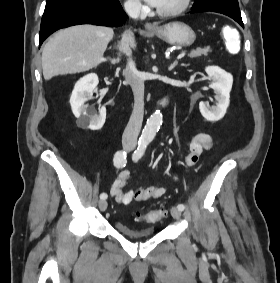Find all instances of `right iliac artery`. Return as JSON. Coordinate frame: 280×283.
<instances>
[{
    "mask_svg": "<svg viewBox=\"0 0 280 283\" xmlns=\"http://www.w3.org/2000/svg\"><path fill=\"white\" fill-rule=\"evenodd\" d=\"M126 157H127L126 151H124V150L117 151L114 155V158H113L114 166L117 167V168L125 167L126 163H127ZM100 199L101 200L107 199V194L104 193V192L101 193Z\"/></svg>",
    "mask_w": 280,
    "mask_h": 283,
    "instance_id": "obj_1",
    "label": "right iliac artery"
}]
</instances>
